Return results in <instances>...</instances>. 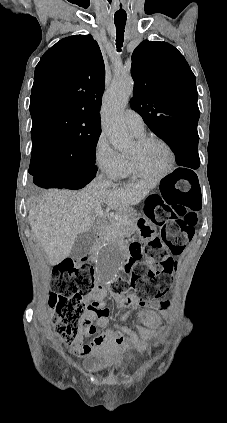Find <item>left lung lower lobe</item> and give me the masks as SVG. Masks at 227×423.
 Listing matches in <instances>:
<instances>
[{
  "label": "left lung lower lobe",
  "mask_w": 227,
  "mask_h": 423,
  "mask_svg": "<svg viewBox=\"0 0 227 423\" xmlns=\"http://www.w3.org/2000/svg\"><path fill=\"white\" fill-rule=\"evenodd\" d=\"M198 141V134H192L174 137L168 140L166 143L174 152L178 165L191 169H197L200 165V159L198 155ZM173 175L196 176L192 170L185 168H179L175 170Z\"/></svg>",
  "instance_id": "0a47b994"
}]
</instances>
